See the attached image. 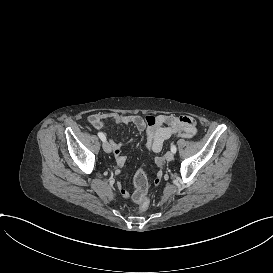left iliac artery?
Here are the masks:
<instances>
[{
  "mask_svg": "<svg viewBox=\"0 0 273 273\" xmlns=\"http://www.w3.org/2000/svg\"><path fill=\"white\" fill-rule=\"evenodd\" d=\"M171 151H172L173 153L176 152V146H175V145H171Z\"/></svg>",
  "mask_w": 273,
  "mask_h": 273,
  "instance_id": "1",
  "label": "left iliac artery"
}]
</instances>
